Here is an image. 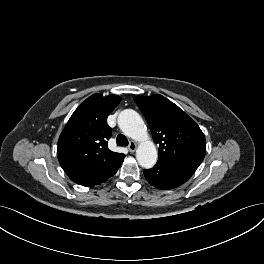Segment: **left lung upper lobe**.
Segmentation results:
<instances>
[{"mask_svg":"<svg viewBox=\"0 0 264 264\" xmlns=\"http://www.w3.org/2000/svg\"><path fill=\"white\" fill-rule=\"evenodd\" d=\"M134 100L148 122L154 141L159 144L158 159L196 170L206 152L205 137L199 126L161 95L137 96Z\"/></svg>","mask_w":264,"mask_h":264,"instance_id":"1","label":"left lung upper lobe"}]
</instances>
